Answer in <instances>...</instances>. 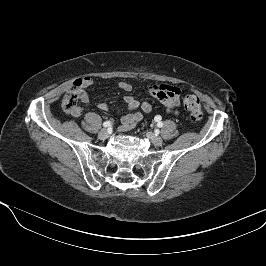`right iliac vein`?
I'll return each mask as SVG.
<instances>
[{"label":"right iliac vein","instance_id":"63e3f726","mask_svg":"<svg viewBox=\"0 0 266 266\" xmlns=\"http://www.w3.org/2000/svg\"><path fill=\"white\" fill-rule=\"evenodd\" d=\"M107 136H108V131H107L106 129H104V128L101 129V130L99 131V133H98V137H99V139H101V140L106 139Z\"/></svg>","mask_w":266,"mask_h":266}]
</instances>
